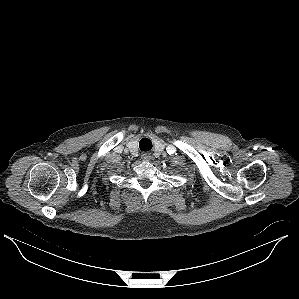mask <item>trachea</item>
Here are the masks:
<instances>
[{"label": "trachea", "mask_w": 299, "mask_h": 299, "mask_svg": "<svg viewBox=\"0 0 299 299\" xmlns=\"http://www.w3.org/2000/svg\"><path fill=\"white\" fill-rule=\"evenodd\" d=\"M139 148L142 151L150 150L152 148V142L148 138H143L139 142Z\"/></svg>", "instance_id": "3493384b"}]
</instances>
